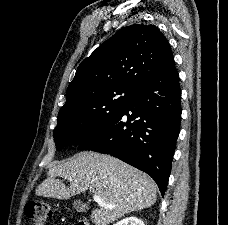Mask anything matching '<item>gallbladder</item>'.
<instances>
[{"label":"gallbladder","instance_id":"gallbladder-1","mask_svg":"<svg viewBox=\"0 0 228 225\" xmlns=\"http://www.w3.org/2000/svg\"><path fill=\"white\" fill-rule=\"evenodd\" d=\"M74 209H76L77 213H83V211H86V205L80 201V199H77V201H73L72 203Z\"/></svg>","mask_w":228,"mask_h":225}]
</instances>
